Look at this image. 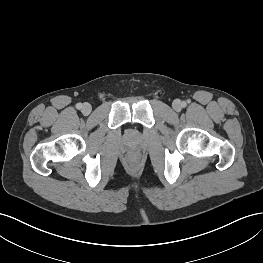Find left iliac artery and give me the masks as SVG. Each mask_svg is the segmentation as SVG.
<instances>
[{"instance_id":"1","label":"left iliac artery","mask_w":263,"mask_h":263,"mask_svg":"<svg viewBox=\"0 0 263 263\" xmlns=\"http://www.w3.org/2000/svg\"><path fill=\"white\" fill-rule=\"evenodd\" d=\"M182 107H186V103L185 102L182 103Z\"/></svg>"}]
</instances>
